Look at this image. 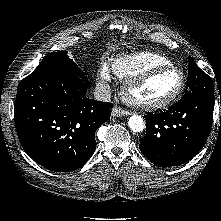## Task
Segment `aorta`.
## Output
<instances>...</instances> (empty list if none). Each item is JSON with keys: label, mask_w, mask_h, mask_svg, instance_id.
I'll return each mask as SVG.
<instances>
[{"label": "aorta", "mask_w": 221, "mask_h": 221, "mask_svg": "<svg viewBox=\"0 0 221 221\" xmlns=\"http://www.w3.org/2000/svg\"><path fill=\"white\" fill-rule=\"evenodd\" d=\"M128 126L133 132H142L145 128V122L140 115H133L128 120Z\"/></svg>", "instance_id": "aorta-1"}]
</instances>
